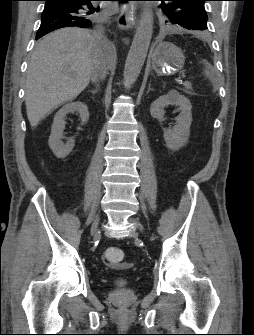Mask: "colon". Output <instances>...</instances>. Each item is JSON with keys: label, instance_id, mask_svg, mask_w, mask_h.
<instances>
[{"label": "colon", "instance_id": "obj_1", "mask_svg": "<svg viewBox=\"0 0 254 335\" xmlns=\"http://www.w3.org/2000/svg\"><path fill=\"white\" fill-rule=\"evenodd\" d=\"M105 261L112 264L118 265L124 259V252L120 248L110 247L105 251Z\"/></svg>", "mask_w": 254, "mask_h": 335}]
</instances>
